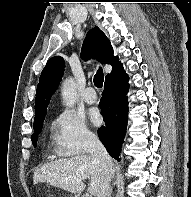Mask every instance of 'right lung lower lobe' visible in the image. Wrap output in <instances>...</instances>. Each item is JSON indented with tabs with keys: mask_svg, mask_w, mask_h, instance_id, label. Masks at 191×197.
Segmentation results:
<instances>
[{
	"mask_svg": "<svg viewBox=\"0 0 191 197\" xmlns=\"http://www.w3.org/2000/svg\"><path fill=\"white\" fill-rule=\"evenodd\" d=\"M128 80L125 71L106 79L100 100L106 126L99 129L98 135L108 153L118 161L128 120Z\"/></svg>",
	"mask_w": 191,
	"mask_h": 197,
	"instance_id": "1",
	"label": "right lung lower lobe"
}]
</instances>
